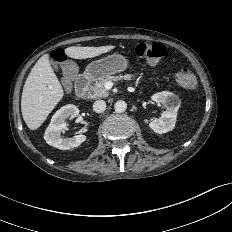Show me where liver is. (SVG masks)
Instances as JSON below:
<instances>
[{"mask_svg": "<svg viewBox=\"0 0 232 232\" xmlns=\"http://www.w3.org/2000/svg\"><path fill=\"white\" fill-rule=\"evenodd\" d=\"M114 48L113 45L72 46L65 49V54L74 59H86L107 53ZM63 95L62 86L50 65L49 56L45 54L36 62L23 87L21 111L28 128L38 129Z\"/></svg>", "mask_w": 232, "mask_h": 232, "instance_id": "6515ba94", "label": "liver"}]
</instances>
